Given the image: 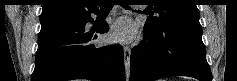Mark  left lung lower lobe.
<instances>
[{"label":"left lung lower lobe","mask_w":237,"mask_h":81,"mask_svg":"<svg viewBox=\"0 0 237 81\" xmlns=\"http://www.w3.org/2000/svg\"><path fill=\"white\" fill-rule=\"evenodd\" d=\"M143 33L144 40L131 53L130 81L168 76L212 81L201 25L168 24L153 32L144 29Z\"/></svg>","instance_id":"1"}]
</instances>
